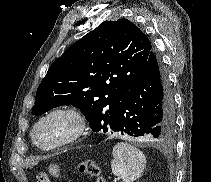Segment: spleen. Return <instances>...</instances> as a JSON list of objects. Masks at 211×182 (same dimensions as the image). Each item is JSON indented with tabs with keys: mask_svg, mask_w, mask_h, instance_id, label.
Masks as SVG:
<instances>
[{
	"mask_svg": "<svg viewBox=\"0 0 211 182\" xmlns=\"http://www.w3.org/2000/svg\"><path fill=\"white\" fill-rule=\"evenodd\" d=\"M111 170L123 182H134L139 179L146 167V158L135 146L120 142L113 147Z\"/></svg>",
	"mask_w": 211,
	"mask_h": 182,
	"instance_id": "3e777b00",
	"label": "spleen"
}]
</instances>
